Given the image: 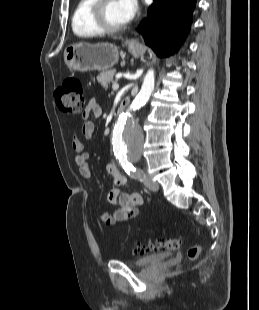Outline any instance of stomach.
<instances>
[{
  "label": "stomach",
  "mask_w": 259,
  "mask_h": 310,
  "mask_svg": "<svg viewBox=\"0 0 259 310\" xmlns=\"http://www.w3.org/2000/svg\"><path fill=\"white\" fill-rule=\"evenodd\" d=\"M133 56L140 54V48L128 46ZM119 58L118 48L111 43L89 44L79 42L66 47L64 61L69 69L87 71H106L112 68Z\"/></svg>",
  "instance_id": "1"
}]
</instances>
